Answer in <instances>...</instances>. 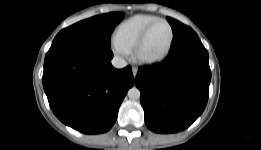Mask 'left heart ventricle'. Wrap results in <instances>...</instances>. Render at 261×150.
I'll return each instance as SVG.
<instances>
[{
  "instance_id": "1",
  "label": "left heart ventricle",
  "mask_w": 261,
  "mask_h": 150,
  "mask_svg": "<svg viewBox=\"0 0 261 150\" xmlns=\"http://www.w3.org/2000/svg\"><path fill=\"white\" fill-rule=\"evenodd\" d=\"M170 30L167 24L161 22L156 24L150 31L144 46L142 54L145 57H156L161 55L168 44Z\"/></svg>"
}]
</instances>
